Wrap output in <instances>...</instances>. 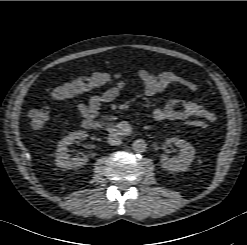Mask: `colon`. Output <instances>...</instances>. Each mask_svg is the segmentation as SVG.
Returning <instances> with one entry per match:
<instances>
[{
  "label": "colon",
  "instance_id": "obj_1",
  "mask_svg": "<svg viewBox=\"0 0 247 245\" xmlns=\"http://www.w3.org/2000/svg\"><path fill=\"white\" fill-rule=\"evenodd\" d=\"M120 76L109 71H95L89 75L79 77L70 82L55 87L51 92L54 100H66L77 95L89 92L94 89L102 88L116 81ZM30 126L33 130H39L44 127L49 118V112L44 109H32L29 112ZM187 124L198 129H206L210 125L204 120H189Z\"/></svg>",
  "mask_w": 247,
  "mask_h": 245
}]
</instances>
